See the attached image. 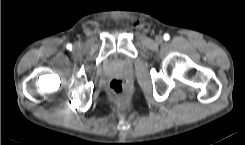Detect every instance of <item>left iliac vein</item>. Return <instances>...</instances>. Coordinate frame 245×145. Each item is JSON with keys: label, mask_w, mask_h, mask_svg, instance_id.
I'll use <instances>...</instances> for the list:
<instances>
[{"label": "left iliac vein", "mask_w": 245, "mask_h": 145, "mask_svg": "<svg viewBox=\"0 0 245 145\" xmlns=\"http://www.w3.org/2000/svg\"><path fill=\"white\" fill-rule=\"evenodd\" d=\"M163 40V37L161 36V35H158L157 37H156V41L157 42H161Z\"/></svg>", "instance_id": "obj_1"}]
</instances>
